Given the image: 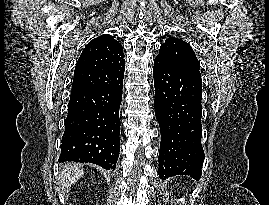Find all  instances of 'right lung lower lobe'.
<instances>
[{
	"label": "right lung lower lobe",
	"mask_w": 269,
	"mask_h": 205,
	"mask_svg": "<svg viewBox=\"0 0 269 205\" xmlns=\"http://www.w3.org/2000/svg\"><path fill=\"white\" fill-rule=\"evenodd\" d=\"M123 78L110 86L71 92L60 162H89L114 170L120 151Z\"/></svg>",
	"instance_id": "right-lung-lower-lobe-1"
}]
</instances>
